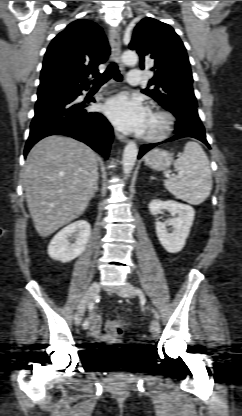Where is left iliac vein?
<instances>
[{"label": "left iliac vein", "instance_id": "4c4485c4", "mask_svg": "<svg viewBox=\"0 0 242 416\" xmlns=\"http://www.w3.org/2000/svg\"><path fill=\"white\" fill-rule=\"evenodd\" d=\"M137 294V290L131 284L126 282L125 285L118 291V295L121 297H134ZM150 331L153 335L160 333V324L156 318H153L150 324Z\"/></svg>", "mask_w": 242, "mask_h": 416}]
</instances>
